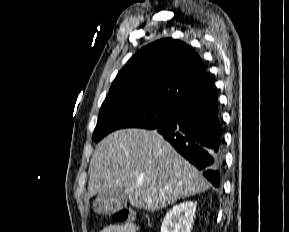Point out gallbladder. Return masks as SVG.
I'll use <instances>...</instances> for the list:
<instances>
[{
	"label": "gallbladder",
	"mask_w": 289,
	"mask_h": 232,
	"mask_svg": "<svg viewBox=\"0 0 289 232\" xmlns=\"http://www.w3.org/2000/svg\"><path fill=\"white\" fill-rule=\"evenodd\" d=\"M128 203V197L120 188L108 190L102 196H97L94 208L99 214L110 215L122 210Z\"/></svg>",
	"instance_id": "gallbladder-1"
}]
</instances>
